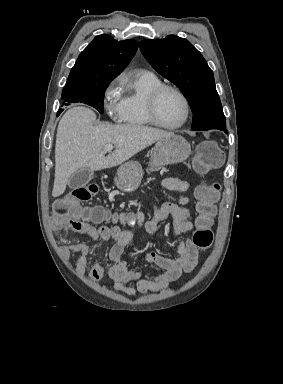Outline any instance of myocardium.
Listing matches in <instances>:
<instances>
[{
    "mask_svg": "<svg viewBox=\"0 0 283 384\" xmlns=\"http://www.w3.org/2000/svg\"><path fill=\"white\" fill-rule=\"evenodd\" d=\"M165 91H172L175 94H177L184 104V109H185L184 118L180 123L173 125V126H167V125L160 123V121L158 120V118L156 116L157 101ZM144 110H145L146 117H147L148 121L150 122V124L159 128V129H162V130H169V131L178 130V129L182 128L188 122L189 117H190V105H189V101H188L187 97L177 87H174V86L168 85V84H161L160 86L155 88L148 95V97L145 100Z\"/></svg>",
    "mask_w": 283,
    "mask_h": 384,
    "instance_id": "1",
    "label": "myocardium"
}]
</instances>
